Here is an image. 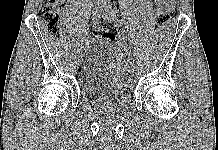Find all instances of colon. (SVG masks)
Wrapping results in <instances>:
<instances>
[{"label":"colon","mask_w":218,"mask_h":150,"mask_svg":"<svg viewBox=\"0 0 218 150\" xmlns=\"http://www.w3.org/2000/svg\"><path fill=\"white\" fill-rule=\"evenodd\" d=\"M62 6V0H46L43 6V17L50 31L55 32L59 26L60 11ZM170 18V10L165 6H159L156 9V20L159 24L166 23ZM94 33L97 37L103 39L106 42H113L115 36L109 30L103 27H97L94 29Z\"/></svg>","instance_id":"1"}]
</instances>
